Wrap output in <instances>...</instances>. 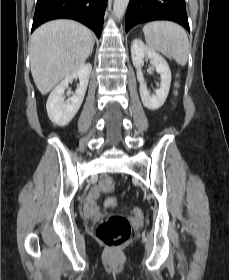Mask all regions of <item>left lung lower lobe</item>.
<instances>
[{
  "label": "left lung lower lobe",
  "mask_w": 229,
  "mask_h": 280,
  "mask_svg": "<svg viewBox=\"0 0 229 280\" xmlns=\"http://www.w3.org/2000/svg\"><path fill=\"white\" fill-rule=\"evenodd\" d=\"M154 20H170L189 31L185 0H130L126 12V32L133 26Z\"/></svg>",
  "instance_id": "obj_1"
}]
</instances>
